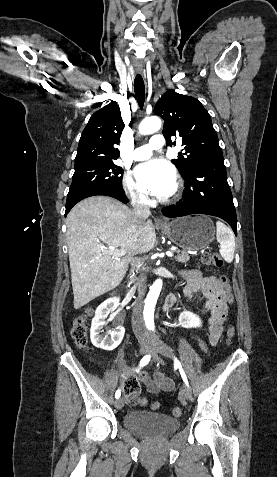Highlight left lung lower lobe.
I'll list each match as a JSON object with an SVG mask.
<instances>
[{"instance_id":"0a47b994","label":"left lung lower lobe","mask_w":277,"mask_h":477,"mask_svg":"<svg viewBox=\"0 0 277 477\" xmlns=\"http://www.w3.org/2000/svg\"><path fill=\"white\" fill-rule=\"evenodd\" d=\"M185 179L183 201L162 210L167 217L208 214L225 220L237 235L233 197L227 183L223 156L199 161Z\"/></svg>"}]
</instances>
